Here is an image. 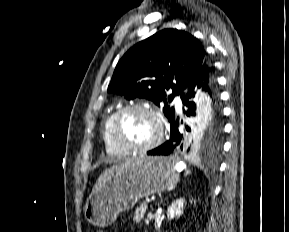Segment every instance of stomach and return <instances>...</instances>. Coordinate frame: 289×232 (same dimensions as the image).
<instances>
[{
  "label": "stomach",
  "mask_w": 289,
  "mask_h": 232,
  "mask_svg": "<svg viewBox=\"0 0 289 232\" xmlns=\"http://www.w3.org/2000/svg\"><path fill=\"white\" fill-rule=\"evenodd\" d=\"M178 182L176 161L166 157H142L116 170L104 185L91 193L84 207L88 222L111 225L120 212L128 211L141 198L160 193Z\"/></svg>",
  "instance_id": "obj_1"
}]
</instances>
